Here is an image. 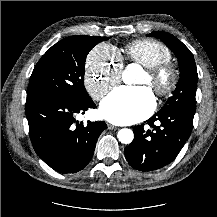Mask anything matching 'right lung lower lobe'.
Listing matches in <instances>:
<instances>
[{
  "label": "right lung lower lobe",
  "instance_id": "1",
  "mask_svg": "<svg viewBox=\"0 0 217 217\" xmlns=\"http://www.w3.org/2000/svg\"><path fill=\"white\" fill-rule=\"evenodd\" d=\"M92 99L75 102L62 99L26 101L29 134L37 155L60 173H75L91 160L105 122L76 121L78 113L95 108Z\"/></svg>",
  "mask_w": 217,
  "mask_h": 217
}]
</instances>
